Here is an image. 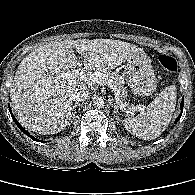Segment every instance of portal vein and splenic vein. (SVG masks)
<instances>
[{"label":"portal vein and splenic vein","mask_w":195,"mask_h":195,"mask_svg":"<svg viewBox=\"0 0 195 195\" xmlns=\"http://www.w3.org/2000/svg\"><path fill=\"white\" fill-rule=\"evenodd\" d=\"M66 78H75L79 79L81 81L86 82L90 86H96V85H108L115 93V98L117 103L119 104V107L121 110L126 111V112H131L132 111H137V110H144L143 105H138L136 107H132V109L127 110L125 104L122 102L120 98V91L119 89L113 85L112 80L107 77L105 74H89L87 73L86 70H75V71H67L64 73Z\"/></svg>","instance_id":"obj_1"}]
</instances>
